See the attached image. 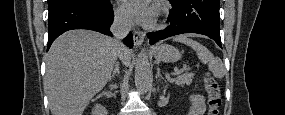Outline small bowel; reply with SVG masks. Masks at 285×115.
Here are the masks:
<instances>
[{"label":"small bowel","instance_id":"small-bowel-1","mask_svg":"<svg viewBox=\"0 0 285 115\" xmlns=\"http://www.w3.org/2000/svg\"><path fill=\"white\" fill-rule=\"evenodd\" d=\"M190 115H203L205 111L204 99L200 95L190 96Z\"/></svg>","mask_w":285,"mask_h":115}]
</instances>
